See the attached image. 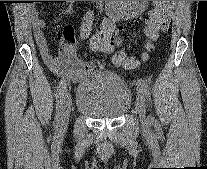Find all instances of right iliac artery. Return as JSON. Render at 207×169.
Listing matches in <instances>:
<instances>
[{
	"label": "right iliac artery",
	"mask_w": 207,
	"mask_h": 169,
	"mask_svg": "<svg viewBox=\"0 0 207 169\" xmlns=\"http://www.w3.org/2000/svg\"><path fill=\"white\" fill-rule=\"evenodd\" d=\"M93 23V12H87V14L83 18V23L81 26V37L87 38L91 31V26ZM66 93V80L62 79L59 82V85L57 86L56 90V100H57V115L55 117V124L58 127L60 122V111L63 104V98Z\"/></svg>",
	"instance_id": "82829eb1"
}]
</instances>
